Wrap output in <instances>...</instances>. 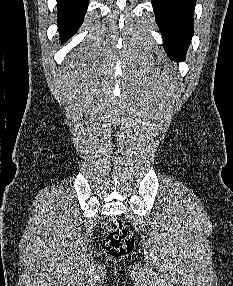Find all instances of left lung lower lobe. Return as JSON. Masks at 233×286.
<instances>
[{
    "mask_svg": "<svg viewBox=\"0 0 233 286\" xmlns=\"http://www.w3.org/2000/svg\"><path fill=\"white\" fill-rule=\"evenodd\" d=\"M196 0H152L156 22L165 50L175 61H183L194 32L193 13Z\"/></svg>",
    "mask_w": 233,
    "mask_h": 286,
    "instance_id": "1",
    "label": "left lung lower lobe"
}]
</instances>
